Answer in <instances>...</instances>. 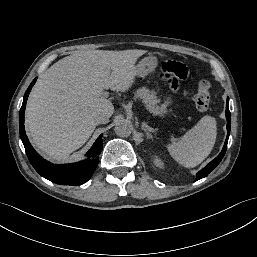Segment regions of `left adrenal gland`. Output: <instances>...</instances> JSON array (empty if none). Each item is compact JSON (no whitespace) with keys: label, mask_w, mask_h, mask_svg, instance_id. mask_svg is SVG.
<instances>
[{"label":"left adrenal gland","mask_w":257,"mask_h":257,"mask_svg":"<svg viewBox=\"0 0 257 257\" xmlns=\"http://www.w3.org/2000/svg\"><path fill=\"white\" fill-rule=\"evenodd\" d=\"M142 129L146 133V136H147L148 139L153 137L150 132H155V130L152 129V128H148V126H147V124L145 122H142Z\"/></svg>","instance_id":"1"}]
</instances>
